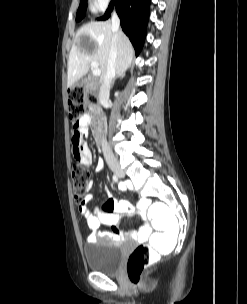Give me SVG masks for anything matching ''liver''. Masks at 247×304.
I'll list each match as a JSON object with an SVG mask.
<instances>
[{"mask_svg": "<svg viewBox=\"0 0 247 304\" xmlns=\"http://www.w3.org/2000/svg\"><path fill=\"white\" fill-rule=\"evenodd\" d=\"M110 22H91L76 33L68 59L67 86L71 87L87 74L92 62L98 63L101 80L106 73L113 36ZM87 41V45L83 41ZM134 50L128 37L119 31L117 39L116 73L124 74L133 61Z\"/></svg>", "mask_w": 247, "mask_h": 304, "instance_id": "liver-1", "label": "liver"}]
</instances>
